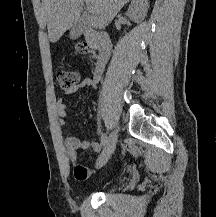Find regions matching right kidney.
I'll list each match as a JSON object with an SVG mask.
<instances>
[{
	"instance_id": "ca27d5eb",
	"label": "right kidney",
	"mask_w": 216,
	"mask_h": 217,
	"mask_svg": "<svg viewBox=\"0 0 216 217\" xmlns=\"http://www.w3.org/2000/svg\"><path fill=\"white\" fill-rule=\"evenodd\" d=\"M148 0H133L129 5L127 15L134 22H141L147 15Z\"/></svg>"
}]
</instances>
